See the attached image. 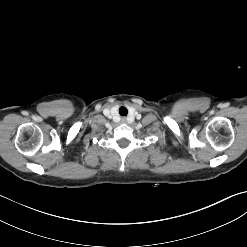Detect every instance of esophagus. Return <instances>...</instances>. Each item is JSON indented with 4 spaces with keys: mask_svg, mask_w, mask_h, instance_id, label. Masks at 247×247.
Here are the masks:
<instances>
[{
    "mask_svg": "<svg viewBox=\"0 0 247 247\" xmlns=\"http://www.w3.org/2000/svg\"><path fill=\"white\" fill-rule=\"evenodd\" d=\"M122 122H126L125 118L122 119Z\"/></svg>",
    "mask_w": 247,
    "mask_h": 247,
    "instance_id": "34e87169",
    "label": "esophagus"
}]
</instances>
